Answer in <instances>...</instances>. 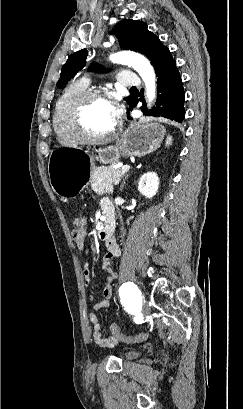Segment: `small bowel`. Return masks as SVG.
Masks as SVG:
<instances>
[{
  "label": "small bowel",
  "mask_w": 243,
  "mask_h": 409,
  "mask_svg": "<svg viewBox=\"0 0 243 409\" xmlns=\"http://www.w3.org/2000/svg\"><path fill=\"white\" fill-rule=\"evenodd\" d=\"M99 190H103L102 187L98 188ZM102 207L103 210L105 209H112L111 203L108 199H105L102 202ZM83 247V246H82ZM106 254L103 258L102 261V269L108 274L106 284L103 288V299L93 305V311H98L102 308H107L110 305V299L112 296V284L113 282L117 279L118 275L117 273L113 270L112 268V260L114 258H117L121 254V249L119 245L117 244L116 240L114 237H112L110 240L106 241ZM84 280H85V285L90 286L91 284V274H90V269H89V264L88 262H85L84 264ZM90 299L93 300V296H90ZM90 323L92 325V330L91 334L93 337L94 342L99 345L100 347L103 348H111L115 346L118 342V339L115 338L113 335H104L101 332V325H100V319L98 315L93 312L89 316Z\"/></svg>",
  "instance_id": "obj_1"
}]
</instances>
